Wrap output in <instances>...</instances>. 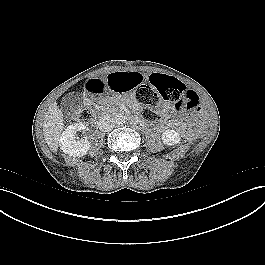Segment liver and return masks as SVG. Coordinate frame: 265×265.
<instances>
[{"instance_id": "obj_1", "label": "liver", "mask_w": 265, "mask_h": 265, "mask_svg": "<svg viewBox=\"0 0 265 265\" xmlns=\"http://www.w3.org/2000/svg\"><path fill=\"white\" fill-rule=\"evenodd\" d=\"M63 114L57 104H52L44 118L43 135L50 150L57 152L59 138L63 131Z\"/></svg>"}]
</instances>
